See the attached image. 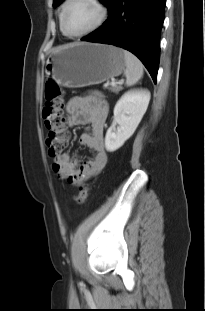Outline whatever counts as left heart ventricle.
Here are the masks:
<instances>
[{
	"instance_id": "left-heart-ventricle-1",
	"label": "left heart ventricle",
	"mask_w": 205,
	"mask_h": 311,
	"mask_svg": "<svg viewBox=\"0 0 205 311\" xmlns=\"http://www.w3.org/2000/svg\"><path fill=\"white\" fill-rule=\"evenodd\" d=\"M99 17V10L88 0H73L69 5L65 26L69 33L78 34L94 25Z\"/></svg>"
}]
</instances>
